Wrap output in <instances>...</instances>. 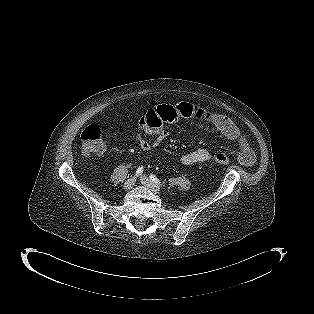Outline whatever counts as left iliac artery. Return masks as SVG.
Segmentation results:
<instances>
[{
  "label": "left iliac artery",
  "mask_w": 314,
  "mask_h": 314,
  "mask_svg": "<svg viewBox=\"0 0 314 314\" xmlns=\"http://www.w3.org/2000/svg\"><path fill=\"white\" fill-rule=\"evenodd\" d=\"M150 179H151L154 183H156L157 185H162L161 182H160V180H159L155 175L150 174Z\"/></svg>",
  "instance_id": "44dca946"
}]
</instances>
